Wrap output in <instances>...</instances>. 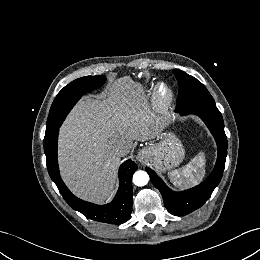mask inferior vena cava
<instances>
[{
    "label": "inferior vena cava",
    "instance_id": "inferior-vena-cava-1",
    "mask_svg": "<svg viewBox=\"0 0 260 260\" xmlns=\"http://www.w3.org/2000/svg\"><path fill=\"white\" fill-rule=\"evenodd\" d=\"M129 147L127 144L119 143L113 147V152L119 157H123L129 153Z\"/></svg>",
    "mask_w": 260,
    "mask_h": 260
}]
</instances>
